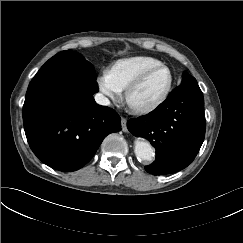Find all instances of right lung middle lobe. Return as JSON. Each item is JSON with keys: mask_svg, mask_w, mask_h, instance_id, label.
Wrapping results in <instances>:
<instances>
[{"mask_svg": "<svg viewBox=\"0 0 243 243\" xmlns=\"http://www.w3.org/2000/svg\"><path fill=\"white\" fill-rule=\"evenodd\" d=\"M57 74L96 79L93 65L86 61L83 56L71 50L57 53L41 67L36 75Z\"/></svg>", "mask_w": 243, "mask_h": 243, "instance_id": "right-lung-middle-lobe-1", "label": "right lung middle lobe"}]
</instances>
